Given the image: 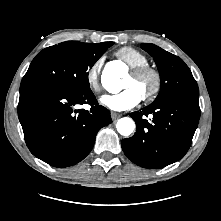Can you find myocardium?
Here are the masks:
<instances>
[{
	"mask_svg": "<svg viewBox=\"0 0 221 221\" xmlns=\"http://www.w3.org/2000/svg\"><path fill=\"white\" fill-rule=\"evenodd\" d=\"M130 73L135 78H142L145 76H150L152 78V88L150 89V91L142 96V99L144 101L151 102L159 95L162 88V75L159 69L146 64L143 66L132 68Z\"/></svg>",
	"mask_w": 221,
	"mask_h": 221,
	"instance_id": "obj_1",
	"label": "myocardium"
}]
</instances>
